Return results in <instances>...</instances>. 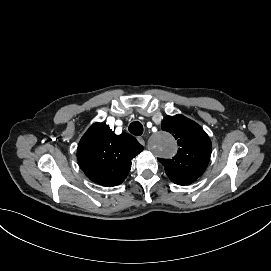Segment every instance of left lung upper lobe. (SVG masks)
I'll return each mask as SVG.
<instances>
[{"instance_id": "obj_1", "label": "left lung upper lobe", "mask_w": 271, "mask_h": 271, "mask_svg": "<svg viewBox=\"0 0 271 271\" xmlns=\"http://www.w3.org/2000/svg\"><path fill=\"white\" fill-rule=\"evenodd\" d=\"M164 131L173 134L177 140L178 153L172 159H158L172 182L188 185L200 177L211 156V141L194 121L183 115L166 116L161 124Z\"/></svg>"}]
</instances>
